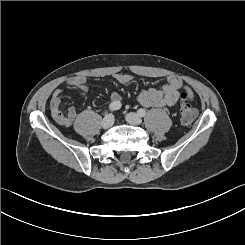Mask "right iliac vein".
Returning a JSON list of instances; mask_svg holds the SVG:
<instances>
[{"label": "right iliac vein", "mask_w": 245, "mask_h": 245, "mask_svg": "<svg viewBox=\"0 0 245 245\" xmlns=\"http://www.w3.org/2000/svg\"><path fill=\"white\" fill-rule=\"evenodd\" d=\"M113 123H114V117H113V115L112 114H108L103 119L101 125H102V127L104 129H108V128H110L113 125Z\"/></svg>", "instance_id": "63e3f726"}]
</instances>
